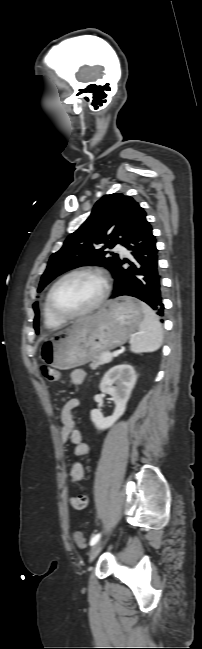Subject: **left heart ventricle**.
I'll use <instances>...</instances> for the list:
<instances>
[{
    "label": "left heart ventricle",
    "instance_id": "1",
    "mask_svg": "<svg viewBox=\"0 0 202 649\" xmlns=\"http://www.w3.org/2000/svg\"><path fill=\"white\" fill-rule=\"evenodd\" d=\"M102 291L94 275L76 274L63 280L54 292L56 306L65 313L82 311L93 304Z\"/></svg>",
    "mask_w": 202,
    "mask_h": 649
}]
</instances>
